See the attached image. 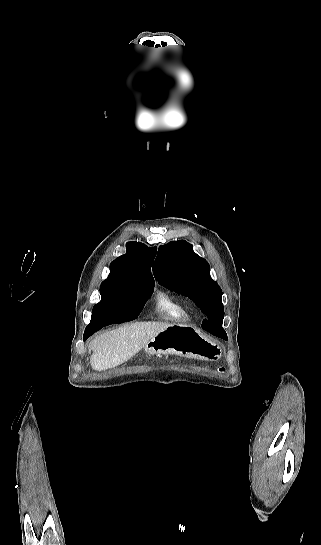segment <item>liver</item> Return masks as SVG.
<instances>
[{
    "mask_svg": "<svg viewBox=\"0 0 321 545\" xmlns=\"http://www.w3.org/2000/svg\"><path fill=\"white\" fill-rule=\"evenodd\" d=\"M166 327H169L167 323L155 321L128 323L95 337L88 347L89 351H93L90 357L93 371H106L126 363Z\"/></svg>",
    "mask_w": 321,
    "mask_h": 545,
    "instance_id": "1",
    "label": "liver"
}]
</instances>
